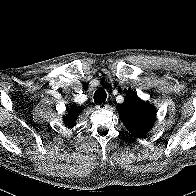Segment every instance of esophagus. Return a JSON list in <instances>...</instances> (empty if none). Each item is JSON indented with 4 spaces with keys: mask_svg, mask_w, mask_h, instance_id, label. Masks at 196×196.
<instances>
[{
    "mask_svg": "<svg viewBox=\"0 0 196 196\" xmlns=\"http://www.w3.org/2000/svg\"><path fill=\"white\" fill-rule=\"evenodd\" d=\"M108 106H109L108 104L102 103V104H97L96 108L103 109V108H108Z\"/></svg>",
    "mask_w": 196,
    "mask_h": 196,
    "instance_id": "34e87169",
    "label": "esophagus"
}]
</instances>
